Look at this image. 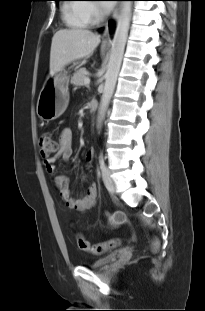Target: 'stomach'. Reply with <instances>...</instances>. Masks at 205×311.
Wrapping results in <instances>:
<instances>
[{
	"label": "stomach",
	"instance_id": "stomach-1",
	"mask_svg": "<svg viewBox=\"0 0 205 311\" xmlns=\"http://www.w3.org/2000/svg\"><path fill=\"white\" fill-rule=\"evenodd\" d=\"M69 77L64 70L49 77L40 91L37 114L44 121L57 119L68 104Z\"/></svg>",
	"mask_w": 205,
	"mask_h": 311
}]
</instances>
